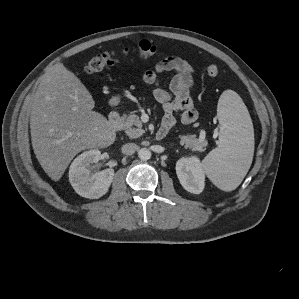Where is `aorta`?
<instances>
[{
    "mask_svg": "<svg viewBox=\"0 0 299 299\" xmlns=\"http://www.w3.org/2000/svg\"><path fill=\"white\" fill-rule=\"evenodd\" d=\"M138 157L143 161H147L151 158V151L147 148H141L138 151Z\"/></svg>",
    "mask_w": 299,
    "mask_h": 299,
    "instance_id": "obj_1",
    "label": "aorta"
}]
</instances>
